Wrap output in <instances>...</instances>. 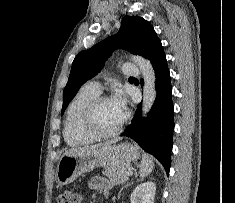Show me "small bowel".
<instances>
[{
  "instance_id": "obj_1",
  "label": "small bowel",
  "mask_w": 235,
  "mask_h": 203,
  "mask_svg": "<svg viewBox=\"0 0 235 203\" xmlns=\"http://www.w3.org/2000/svg\"><path fill=\"white\" fill-rule=\"evenodd\" d=\"M89 188L101 193L103 196H107L109 194L111 184L106 178L95 176L90 179Z\"/></svg>"
}]
</instances>
